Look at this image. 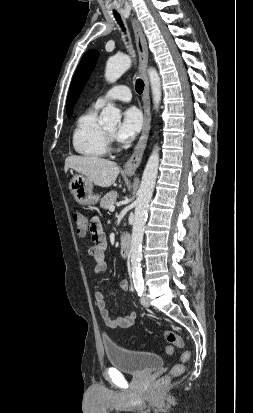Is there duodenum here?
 <instances>
[{
	"label": "duodenum",
	"mask_w": 253,
	"mask_h": 413,
	"mask_svg": "<svg viewBox=\"0 0 253 413\" xmlns=\"http://www.w3.org/2000/svg\"><path fill=\"white\" fill-rule=\"evenodd\" d=\"M131 237L129 234H124L121 238V256L126 259L130 255Z\"/></svg>",
	"instance_id": "obj_1"
}]
</instances>
